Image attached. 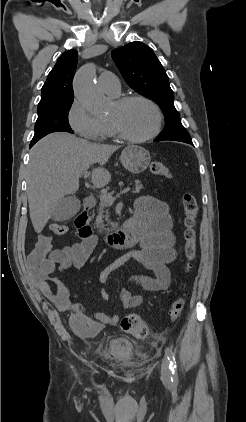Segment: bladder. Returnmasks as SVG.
Returning <instances> with one entry per match:
<instances>
[{
	"label": "bladder",
	"mask_w": 246,
	"mask_h": 422,
	"mask_svg": "<svg viewBox=\"0 0 246 422\" xmlns=\"http://www.w3.org/2000/svg\"><path fill=\"white\" fill-rule=\"evenodd\" d=\"M104 356L109 359L119 360L129 366L135 365V349L130 342L122 338L110 339L105 346Z\"/></svg>",
	"instance_id": "bladder-1"
}]
</instances>
